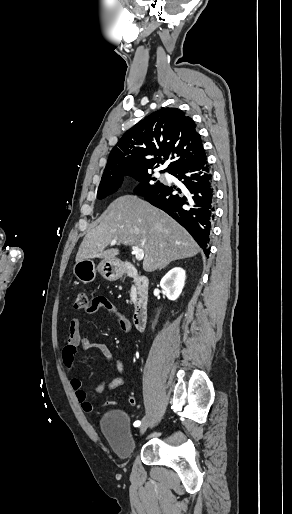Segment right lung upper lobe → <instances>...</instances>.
<instances>
[{"label":"right lung upper lobe","mask_w":292,"mask_h":514,"mask_svg":"<svg viewBox=\"0 0 292 514\" xmlns=\"http://www.w3.org/2000/svg\"><path fill=\"white\" fill-rule=\"evenodd\" d=\"M205 155L195 122L178 108L153 112L112 149L102 180L149 172L164 162L172 173Z\"/></svg>","instance_id":"1"}]
</instances>
